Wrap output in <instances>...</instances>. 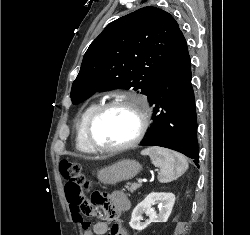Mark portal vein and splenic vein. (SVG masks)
Segmentation results:
<instances>
[{
  "label": "portal vein and splenic vein",
  "mask_w": 250,
  "mask_h": 235,
  "mask_svg": "<svg viewBox=\"0 0 250 235\" xmlns=\"http://www.w3.org/2000/svg\"><path fill=\"white\" fill-rule=\"evenodd\" d=\"M142 182H143V179L139 178L138 183H142Z\"/></svg>",
  "instance_id": "1"
}]
</instances>
